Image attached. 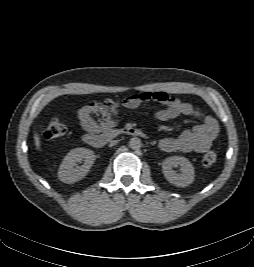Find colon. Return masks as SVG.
<instances>
[{
  "label": "colon",
  "mask_w": 254,
  "mask_h": 267,
  "mask_svg": "<svg viewBox=\"0 0 254 267\" xmlns=\"http://www.w3.org/2000/svg\"><path fill=\"white\" fill-rule=\"evenodd\" d=\"M67 130L68 126L66 123L57 118H54L49 122L44 132V136L48 140H53L65 135ZM216 161H217V155L212 151L206 153L202 158V164L204 166H211L214 163H216Z\"/></svg>",
  "instance_id": "5ec220e1"
}]
</instances>
